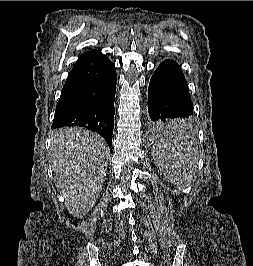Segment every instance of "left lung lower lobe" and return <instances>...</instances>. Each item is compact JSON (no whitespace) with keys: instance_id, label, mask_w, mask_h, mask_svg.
<instances>
[{"instance_id":"1","label":"left lung lower lobe","mask_w":253,"mask_h":266,"mask_svg":"<svg viewBox=\"0 0 253 266\" xmlns=\"http://www.w3.org/2000/svg\"><path fill=\"white\" fill-rule=\"evenodd\" d=\"M148 113L149 126L155 136L188 133L185 119L193 114V105L184 74L173 60L163 61L150 80ZM161 140L164 141H158Z\"/></svg>"}]
</instances>
